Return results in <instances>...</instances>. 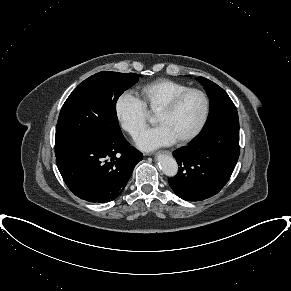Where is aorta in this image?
Wrapping results in <instances>:
<instances>
[{
    "mask_svg": "<svg viewBox=\"0 0 291 291\" xmlns=\"http://www.w3.org/2000/svg\"><path fill=\"white\" fill-rule=\"evenodd\" d=\"M157 162L160 169L165 175L173 177L177 174L178 164L173 157L165 154H160L157 156Z\"/></svg>",
    "mask_w": 291,
    "mask_h": 291,
    "instance_id": "aorta-1",
    "label": "aorta"
}]
</instances>
